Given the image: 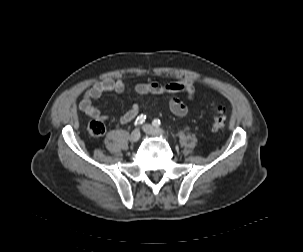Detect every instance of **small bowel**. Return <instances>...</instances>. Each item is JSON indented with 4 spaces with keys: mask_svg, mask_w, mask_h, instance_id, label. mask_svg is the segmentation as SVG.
<instances>
[{
    "mask_svg": "<svg viewBox=\"0 0 303 252\" xmlns=\"http://www.w3.org/2000/svg\"><path fill=\"white\" fill-rule=\"evenodd\" d=\"M125 84L121 79L106 78L95 82L82 95L79 102V109L87 116L105 122L108 120L107 115H103L98 108L93 105V100L100 98L104 93L114 92L123 93ZM135 91L140 95L147 94H177L185 93L189 99L195 96V88L191 81L187 79H177L166 84H160L153 81H147L136 85ZM170 111L179 117L186 116L189 108L187 103L176 96H172L168 102ZM140 105L133 103L128 110L120 117L122 124L129 123L138 117Z\"/></svg>",
    "mask_w": 303,
    "mask_h": 252,
    "instance_id": "obj_1",
    "label": "small bowel"
}]
</instances>
